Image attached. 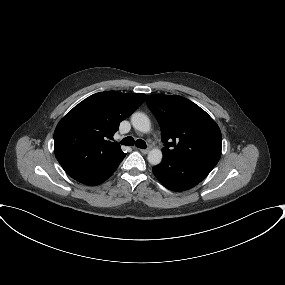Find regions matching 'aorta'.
<instances>
[{
  "label": "aorta",
  "instance_id": "762f6f07",
  "mask_svg": "<svg viewBox=\"0 0 285 285\" xmlns=\"http://www.w3.org/2000/svg\"><path fill=\"white\" fill-rule=\"evenodd\" d=\"M132 126L143 133H148L151 129V123L148 116L142 112H135L131 116ZM162 152L158 148H154L148 153V161L152 165H158L162 160Z\"/></svg>",
  "mask_w": 285,
  "mask_h": 285
}]
</instances>
